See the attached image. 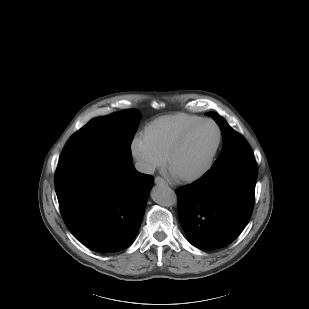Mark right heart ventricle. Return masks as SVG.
<instances>
[{"label":"right heart ventricle","mask_w":309,"mask_h":309,"mask_svg":"<svg viewBox=\"0 0 309 309\" xmlns=\"http://www.w3.org/2000/svg\"><path fill=\"white\" fill-rule=\"evenodd\" d=\"M203 118L189 114H172L154 119L144 129L143 137L154 151L165 159L176 139Z\"/></svg>","instance_id":"right-heart-ventricle-1"}]
</instances>
